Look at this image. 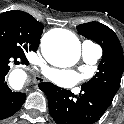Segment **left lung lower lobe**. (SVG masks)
I'll use <instances>...</instances> for the list:
<instances>
[{
    "instance_id": "0a47b994",
    "label": "left lung lower lobe",
    "mask_w": 124,
    "mask_h": 124,
    "mask_svg": "<svg viewBox=\"0 0 124 124\" xmlns=\"http://www.w3.org/2000/svg\"><path fill=\"white\" fill-rule=\"evenodd\" d=\"M39 87L48 98L49 113L57 124H93L112 102L98 92L83 88L77 96L48 82L40 83Z\"/></svg>"
}]
</instances>
